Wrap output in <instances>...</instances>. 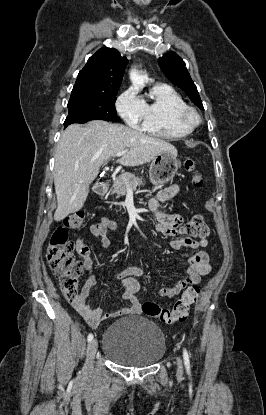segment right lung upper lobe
Returning a JSON list of instances; mask_svg holds the SVG:
<instances>
[{
    "instance_id": "1",
    "label": "right lung upper lobe",
    "mask_w": 266,
    "mask_h": 415,
    "mask_svg": "<svg viewBox=\"0 0 266 415\" xmlns=\"http://www.w3.org/2000/svg\"><path fill=\"white\" fill-rule=\"evenodd\" d=\"M127 63V58L122 57L116 49H99L79 72L72 93L118 91Z\"/></svg>"
}]
</instances>
